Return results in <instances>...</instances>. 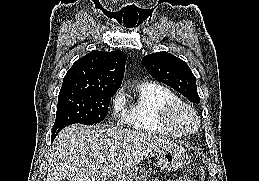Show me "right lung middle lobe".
Returning <instances> with one entry per match:
<instances>
[{
    "label": "right lung middle lobe",
    "mask_w": 259,
    "mask_h": 181,
    "mask_svg": "<svg viewBox=\"0 0 259 181\" xmlns=\"http://www.w3.org/2000/svg\"><path fill=\"white\" fill-rule=\"evenodd\" d=\"M114 94L88 90H60L52 138L68 125H91L103 121Z\"/></svg>",
    "instance_id": "right-lung-middle-lobe-1"
}]
</instances>
